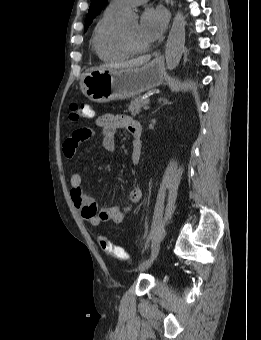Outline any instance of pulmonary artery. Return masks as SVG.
<instances>
[{
  "label": "pulmonary artery",
  "mask_w": 261,
  "mask_h": 340,
  "mask_svg": "<svg viewBox=\"0 0 261 340\" xmlns=\"http://www.w3.org/2000/svg\"><path fill=\"white\" fill-rule=\"evenodd\" d=\"M147 1L148 0H112L109 6L113 9L124 12L131 6L140 5Z\"/></svg>",
  "instance_id": "1"
}]
</instances>
